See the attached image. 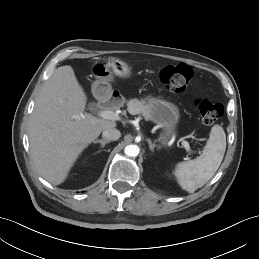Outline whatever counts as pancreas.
Listing matches in <instances>:
<instances>
[{
  "label": "pancreas",
  "mask_w": 259,
  "mask_h": 259,
  "mask_svg": "<svg viewBox=\"0 0 259 259\" xmlns=\"http://www.w3.org/2000/svg\"><path fill=\"white\" fill-rule=\"evenodd\" d=\"M128 111L132 115L142 114L145 118L147 117V106L144 102L137 99H133L128 102Z\"/></svg>",
  "instance_id": "1"
}]
</instances>
